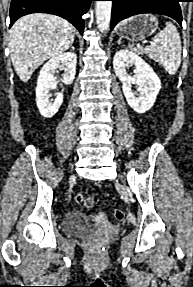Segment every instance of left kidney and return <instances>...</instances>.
<instances>
[{
    "label": "left kidney",
    "instance_id": "1",
    "mask_svg": "<svg viewBox=\"0 0 193 287\" xmlns=\"http://www.w3.org/2000/svg\"><path fill=\"white\" fill-rule=\"evenodd\" d=\"M131 66L135 68L134 77L128 75L126 70ZM113 68L123 84V93L130 107L137 113L151 109L161 88V81L148 63L137 53L121 49L114 55ZM132 85H137V92L132 91Z\"/></svg>",
    "mask_w": 193,
    "mask_h": 287
}]
</instances>
